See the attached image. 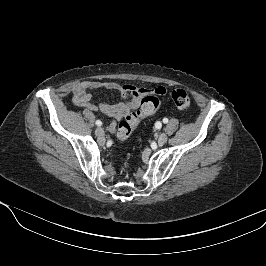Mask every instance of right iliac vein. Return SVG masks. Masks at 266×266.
Listing matches in <instances>:
<instances>
[{
  "mask_svg": "<svg viewBox=\"0 0 266 266\" xmlns=\"http://www.w3.org/2000/svg\"><path fill=\"white\" fill-rule=\"evenodd\" d=\"M95 134H96V136H98V137H103L105 133H104L103 128L98 127V128H96V130H95Z\"/></svg>",
  "mask_w": 266,
  "mask_h": 266,
  "instance_id": "63e3f726",
  "label": "right iliac vein"
}]
</instances>
